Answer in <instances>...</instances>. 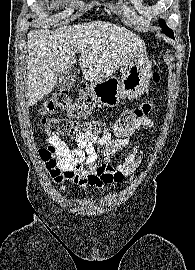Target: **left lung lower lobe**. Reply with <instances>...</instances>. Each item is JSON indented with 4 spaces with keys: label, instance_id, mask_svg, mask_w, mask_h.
Segmentation results:
<instances>
[{
    "label": "left lung lower lobe",
    "instance_id": "left-lung-lower-lobe-1",
    "mask_svg": "<svg viewBox=\"0 0 195 270\" xmlns=\"http://www.w3.org/2000/svg\"><path fill=\"white\" fill-rule=\"evenodd\" d=\"M166 35H167V34H166ZM167 36H169V37L173 38V36H170V35H167Z\"/></svg>",
    "mask_w": 195,
    "mask_h": 270
}]
</instances>
